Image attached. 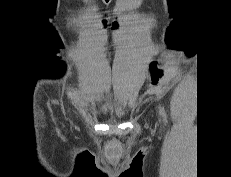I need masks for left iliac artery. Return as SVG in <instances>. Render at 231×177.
I'll return each instance as SVG.
<instances>
[{
  "label": "left iliac artery",
  "instance_id": "1",
  "mask_svg": "<svg viewBox=\"0 0 231 177\" xmlns=\"http://www.w3.org/2000/svg\"><path fill=\"white\" fill-rule=\"evenodd\" d=\"M159 113L162 116L163 121H166V113H165L164 108L161 105L159 106Z\"/></svg>",
  "mask_w": 231,
  "mask_h": 177
}]
</instances>
